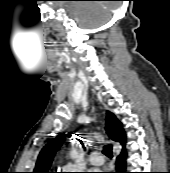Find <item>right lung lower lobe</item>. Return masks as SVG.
Listing matches in <instances>:
<instances>
[{"label": "right lung lower lobe", "mask_w": 170, "mask_h": 173, "mask_svg": "<svg viewBox=\"0 0 170 173\" xmlns=\"http://www.w3.org/2000/svg\"><path fill=\"white\" fill-rule=\"evenodd\" d=\"M125 169H126V151L123 148L121 154L117 157V160H116L115 173H127Z\"/></svg>", "instance_id": "1"}]
</instances>
